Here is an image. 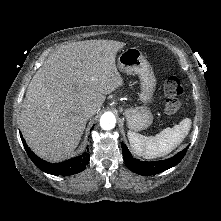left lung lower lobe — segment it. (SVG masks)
Wrapping results in <instances>:
<instances>
[{
  "instance_id": "obj_1",
  "label": "left lung lower lobe",
  "mask_w": 221,
  "mask_h": 221,
  "mask_svg": "<svg viewBox=\"0 0 221 221\" xmlns=\"http://www.w3.org/2000/svg\"><path fill=\"white\" fill-rule=\"evenodd\" d=\"M121 146H122V153H123L126 166L132 172L143 175V176L155 175L177 165L185 156L187 149H188V146H187L186 149L180 151L175 156L166 160L156 161V162H143L136 158H133L128 148L123 142L121 143Z\"/></svg>"
}]
</instances>
